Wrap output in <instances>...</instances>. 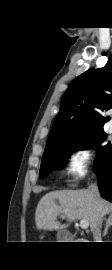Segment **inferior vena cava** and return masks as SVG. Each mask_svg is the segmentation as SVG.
Segmentation results:
<instances>
[{
  "label": "inferior vena cava",
  "instance_id": "inferior-vena-cava-1",
  "mask_svg": "<svg viewBox=\"0 0 112 270\" xmlns=\"http://www.w3.org/2000/svg\"><path fill=\"white\" fill-rule=\"evenodd\" d=\"M91 191L95 196H99V189L97 184L93 183L91 185ZM101 223H102V217L99 221V224L94 232V238L96 240V242H101Z\"/></svg>",
  "mask_w": 112,
  "mask_h": 270
}]
</instances>
